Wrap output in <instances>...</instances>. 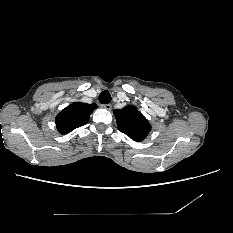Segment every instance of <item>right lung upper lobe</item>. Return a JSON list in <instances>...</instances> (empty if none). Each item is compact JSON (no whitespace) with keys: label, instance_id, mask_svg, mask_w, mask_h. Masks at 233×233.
I'll return each instance as SVG.
<instances>
[{"label":"right lung upper lobe","instance_id":"cb5924a9","mask_svg":"<svg viewBox=\"0 0 233 233\" xmlns=\"http://www.w3.org/2000/svg\"><path fill=\"white\" fill-rule=\"evenodd\" d=\"M97 108L95 103L75 102L63 109L56 117V126L61 134H67L75 128L85 125L90 114Z\"/></svg>","mask_w":233,"mask_h":233}]
</instances>
